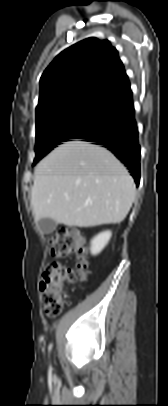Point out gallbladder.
Instances as JSON below:
<instances>
[{"mask_svg":"<svg viewBox=\"0 0 168 406\" xmlns=\"http://www.w3.org/2000/svg\"><path fill=\"white\" fill-rule=\"evenodd\" d=\"M40 230L45 234L52 233L57 226V223L50 218H42L38 222Z\"/></svg>","mask_w":168,"mask_h":406,"instance_id":"gallbladder-1","label":"gallbladder"}]
</instances>
